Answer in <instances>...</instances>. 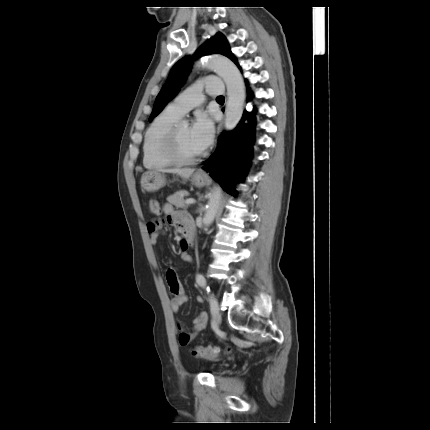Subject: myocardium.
<instances>
[{"label": "myocardium", "instance_id": "1", "mask_svg": "<svg viewBox=\"0 0 430 430\" xmlns=\"http://www.w3.org/2000/svg\"><path fill=\"white\" fill-rule=\"evenodd\" d=\"M181 124L177 123L174 125L165 137L163 143V151L166 157L176 165H189L200 160L202 152L194 156H185L178 143V131Z\"/></svg>", "mask_w": 430, "mask_h": 430}]
</instances>
